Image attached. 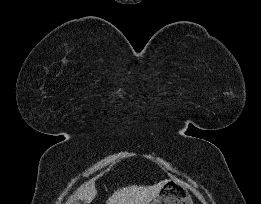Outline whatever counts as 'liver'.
Masks as SVG:
<instances>
[{
  "label": "liver",
  "mask_w": 261,
  "mask_h": 204,
  "mask_svg": "<svg viewBox=\"0 0 261 204\" xmlns=\"http://www.w3.org/2000/svg\"><path fill=\"white\" fill-rule=\"evenodd\" d=\"M167 180L161 181L153 186H137L132 185L118 189L108 198L106 204H149L157 197L161 187ZM97 194L94 182H89L81 186L74 199L67 204H72L75 200L81 199L91 202Z\"/></svg>",
  "instance_id": "liver-1"
}]
</instances>
